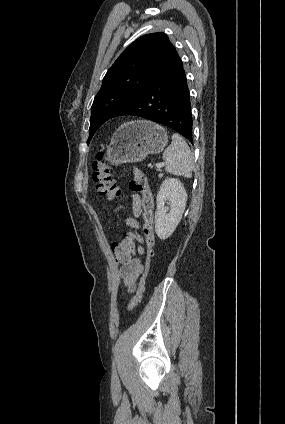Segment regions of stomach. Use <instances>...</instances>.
I'll use <instances>...</instances> for the list:
<instances>
[{
	"label": "stomach",
	"mask_w": 285,
	"mask_h": 424,
	"mask_svg": "<svg viewBox=\"0 0 285 424\" xmlns=\"http://www.w3.org/2000/svg\"><path fill=\"white\" fill-rule=\"evenodd\" d=\"M168 142L163 127L150 121L137 120L122 124L107 148V160L112 164L144 160L148 154L163 151Z\"/></svg>",
	"instance_id": "0dacf381"
}]
</instances>
